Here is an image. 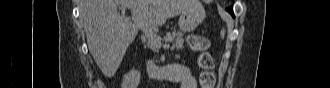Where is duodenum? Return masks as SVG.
Listing matches in <instances>:
<instances>
[{
	"label": "duodenum",
	"instance_id": "obj_1",
	"mask_svg": "<svg viewBox=\"0 0 330 88\" xmlns=\"http://www.w3.org/2000/svg\"><path fill=\"white\" fill-rule=\"evenodd\" d=\"M146 72L156 80H168L167 66H160L152 62L145 64Z\"/></svg>",
	"mask_w": 330,
	"mask_h": 88
}]
</instances>
